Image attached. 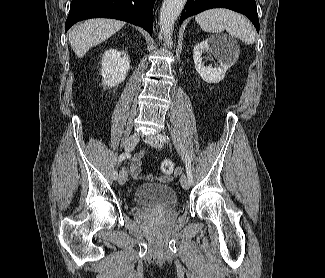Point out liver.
Wrapping results in <instances>:
<instances>
[{
	"label": "liver",
	"mask_w": 325,
	"mask_h": 278,
	"mask_svg": "<svg viewBox=\"0 0 325 278\" xmlns=\"http://www.w3.org/2000/svg\"><path fill=\"white\" fill-rule=\"evenodd\" d=\"M114 19H89L69 32L70 45L79 58L93 46L105 41L124 26Z\"/></svg>",
	"instance_id": "liver-1"
}]
</instances>
